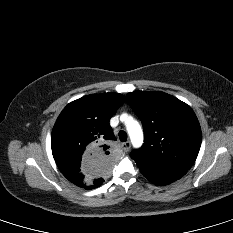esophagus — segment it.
Returning a JSON list of instances; mask_svg holds the SVG:
<instances>
[{"mask_svg": "<svg viewBox=\"0 0 233 233\" xmlns=\"http://www.w3.org/2000/svg\"><path fill=\"white\" fill-rule=\"evenodd\" d=\"M131 148V143L129 141L122 143V149L125 152H128Z\"/></svg>", "mask_w": 233, "mask_h": 233, "instance_id": "1", "label": "esophagus"}]
</instances>
